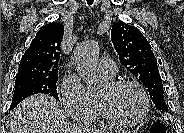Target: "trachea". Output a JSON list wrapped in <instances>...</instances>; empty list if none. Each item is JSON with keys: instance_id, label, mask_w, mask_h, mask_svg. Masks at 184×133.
<instances>
[{"instance_id": "1", "label": "trachea", "mask_w": 184, "mask_h": 133, "mask_svg": "<svg viewBox=\"0 0 184 133\" xmlns=\"http://www.w3.org/2000/svg\"><path fill=\"white\" fill-rule=\"evenodd\" d=\"M94 0H87V4L91 6L93 4Z\"/></svg>"}]
</instances>
